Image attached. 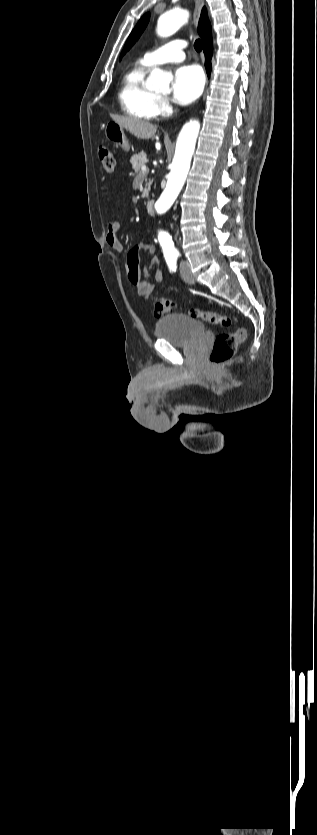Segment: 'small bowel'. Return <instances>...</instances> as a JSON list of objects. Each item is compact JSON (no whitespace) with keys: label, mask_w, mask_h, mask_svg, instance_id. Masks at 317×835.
I'll list each match as a JSON object with an SVG mask.
<instances>
[{"label":"small bowel","mask_w":317,"mask_h":835,"mask_svg":"<svg viewBox=\"0 0 317 835\" xmlns=\"http://www.w3.org/2000/svg\"><path fill=\"white\" fill-rule=\"evenodd\" d=\"M120 227L121 225L119 221L111 220L107 225L106 233L107 245L119 253L124 251V246L118 236ZM142 250L152 254L154 248L150 243H142L132 247L126 255V268L130 282L136 286L138 293L144 296L153 290L154 284L148 275H143L140 271L139 256ZM149 267L154 272L155 282L161 283L163 281V273L159 267V261L156 257H150Z\"/></svg>","instance_id":"c3829d8e"}]
</instances>
